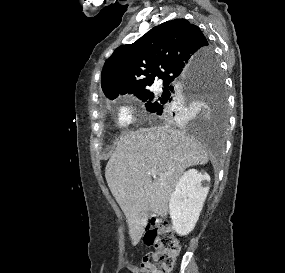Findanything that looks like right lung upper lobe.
Instances as JSON below:
<instances>
[{
	"label": "right lung upper lobe",
	"mask_w": 285,
	"mask_h": 273,
	"mask_svg": "<svg viewBox=\"0 0 285 273\" xmlns=\"http://www.w3.org/2000/svg\"><path fill=\"white\" fill-rule=\"evenodd\" d=\"M211 51L202 31L188 20L164 22L114 51L103 67L102 90L113 100L119 94L144 91L157 79L168 86Z\"/></svg>",
	"instance_id": "cb5924a9"
}]
</instances>
